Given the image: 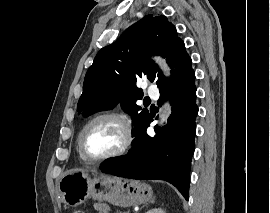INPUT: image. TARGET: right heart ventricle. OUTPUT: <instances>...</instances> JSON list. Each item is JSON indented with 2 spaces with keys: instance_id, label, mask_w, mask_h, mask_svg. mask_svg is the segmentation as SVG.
I'll list each match as a JSON object with an SVG mask.
<instances>
[{
  "instance_id": "obj_1",
  "label": "right heart ventricle",
  "mask_w": 270,
  "mask_h": 213,
  "mask_svg": "<svg viewBox=\"0 0 270 213\" xmlns=\"http://www.w3.org/2000/svg\"><path fill=\"white\" fill-rule=\"evenodd\" d=\"M78 140H79V136H78V138H77V150H78V154H79V156H80V158L83 160V161H86L85 159H84V157L81 155V153H80V150H79V142H78Z\"/></svg>"
}]
</instances>
